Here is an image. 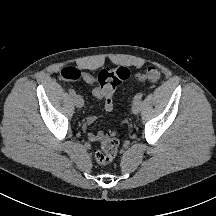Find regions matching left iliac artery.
<instances>
[{"instance_id": "44dca946", "label": "left iliac artery", "mask_w": 216, "mask_h": 216, "mask_svg": "<svg viewBox=\"0 0 216 216\" xmlns=\"http://www.w3.org/2000/svg\"><path fill=\"white\" fill-rule=\"evenodd\" d=\"M143 97V93H138L135 97H134V102H139Z\"/></svg>"}]
</instances>
